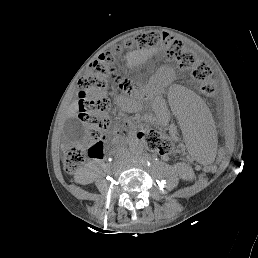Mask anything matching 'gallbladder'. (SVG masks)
I'll return each mask as SVG.
<instances>
[{
    "label": "gallbladder",
    "mask_w": 258,
    "mask_h": 258,
    "mask_svg": "<svg viewBox=\"0 0 258 258\" xmlns=\"http://www.w3.org/2000/svg\"><path fill=\"white\" fill-rule=\"evenodd\" d=\"M64 132L73 143L82 141L87 134L85 126L77 118H70L64 123Z\"/></svg>",
    "instance_id": "gallbladder-1"
}]
</instances>
